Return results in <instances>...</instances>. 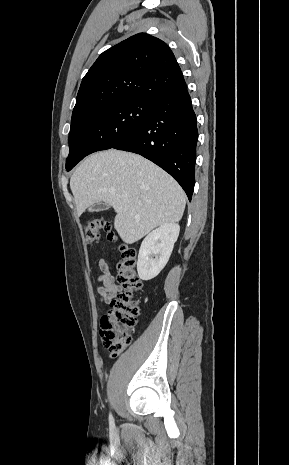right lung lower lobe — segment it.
<instances>
[{"label": "right lung lower lobe", "instance_id": "obj_1", "mask_svg": "<svg viewBox=\"0 0 289 465\" xmlns=\"http://www.w3.org/2000/svg\"><path fill=\"white\" fill-rule=\"evenodd\" d=\"M197 139L196 115L185 88L153 101L151 116L111 148L134 152L151 160L168 172L191 200Z\"/></svg>", "mask_w": 289, "mask_h": 465}]
</instances>
